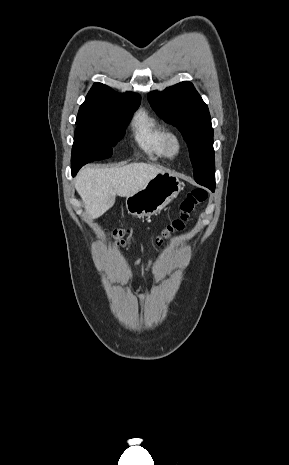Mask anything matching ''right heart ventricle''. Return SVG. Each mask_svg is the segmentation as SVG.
Masks as SVG:
<instances>
[{
    "label": "right heart ventricle",
    "mask_w": 289,
    "mask_h": 465,
    "mask_svg": "<svg viewBox=\"0 0 289 465\" xmlns=\"http://www.w3.org/2000/svg\"><path fill=\"white\" fill-rule=\"evenodd\" d=\"M133 137L138 148L151 160L166 157L163 149L165 127L146 110H139L132 118Z\"/></svg>",
    "instance_id": "e07e8e85"
}]
</instances>
